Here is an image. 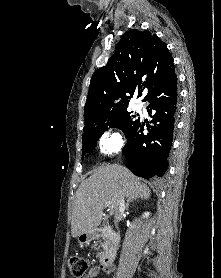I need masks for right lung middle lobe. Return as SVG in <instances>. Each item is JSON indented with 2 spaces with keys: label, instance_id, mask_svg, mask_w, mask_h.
<instances>
[{
  "label": "right lung middle lobe",
  "instance_id": "right-lung-middle-lobe-1",
  "mask_svg": "<svg viewBox=\"0 0 221 278\" xmlns=\"http://www.w3.org/2000/svg\"><path fill=\"white\" fill-rule=\"evenodd\" d=\"M135 117L136 115H132L128 112L126 107L115 113L85 122L82 135V160L84 155L95 147L97 139L108 129V126L119 128L127 135L130 129L140 119H134Z\"/></svg>",
  "mask_w": 221,
  "mask_h": 278
}]
</instances>
